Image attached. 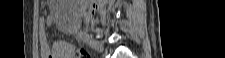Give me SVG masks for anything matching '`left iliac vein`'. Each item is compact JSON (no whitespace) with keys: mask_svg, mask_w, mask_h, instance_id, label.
Listing matches in <instances>:
<instances>
[{"mask_svg":"<svg viewBox=\"0 0 225 58\" xmlns=\"http://www.w3.org/2000/svg\"><path fill=\"white\" fill-rule=\"evenodd\" d=\"M86 42L88 43V45L91 48L95 49L96 51H100L101 52L104 49L103 44L100 41H98V40L90 39V38L87 37L86 38Z\"/></svg>","mask_w":225,"mask_h":58,"instance_id":"4c4485c4","label":"left iliac vein"}]
</instances>
